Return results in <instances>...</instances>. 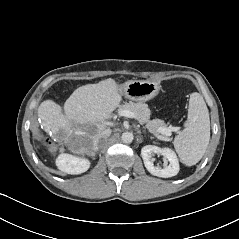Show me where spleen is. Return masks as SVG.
Returning a JSON list of instances; mask_svg holds the SVG:
<instances>
[{
  "mask_svg": "<svg viewBox=\"0 0 239 239\" xmlns=\"http://www.w3.org/2000/svg\"><path fill=\"white\" fill-rule=\"evenodd\" d=\"M210 140V118L201 94L190 96L187 121L184 129L175 137L174 148L180 160L187 166L198 163Z\"/></svg>",
  "mask_w": 239,
  "mask_h": 239,
  "instance_id": "3e777b00",
  "label": "spleen"
}]
</instances>
